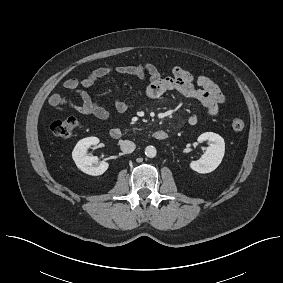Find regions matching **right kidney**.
I'll list each match as a JSON object with an SVG mask.
<instances>
[{"label":"right kidney","mask_w":283,"mask_h":283,"mask_svg":"<svg viewBox=\"0 0 283 283\" xmlns=\"http://www.w3.org/2000/svg\"><path fill=\"white\" fill-rule=\"evenodd\" d=\"M99 139L97 137H87L80 140L73 149L72 158L76 166L84 173L92 176L102 175L109 167L107 162L102 161L99 165L97 156L87 155V150L92 145H97Z\"/></svg>","instance_id":"ca27d5eb"}]
</instances>
